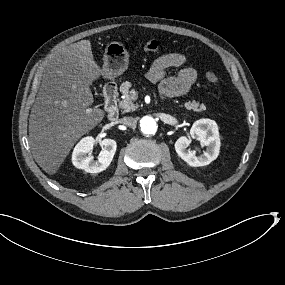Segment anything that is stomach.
<instances>
[{"label":"stomach","instance_id":"0dacf381","mask_svg":"<svg viewBox=\"0 0 285 285\" xmlns=\"http://www.w3.org/2000/svg\"><path fill=\"white\" fill-rule=\"evenodd\" d=\"M103 60L102 74L105 78L114 79L127 69L129 54L123 44L111 42L105 49Z\"/></svg>","mask_w":285,"mask_h":285}]
</instances>
